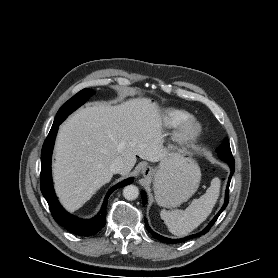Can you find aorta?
Returning <instances> with one entry per match:
<instances>
[{"instance_id":"1","label":"aorta","mask_w":278,"mask_h":278,"mask_svg":"<svg viewBox=\"0 0 278 278\" xmlns=\"http://www.w3.org/2000/svg\"><path fill=\"white\" fill-rule=\"evenodd\" d=\"M139 195V190L134 185H128L123 189V196L127 200H135Z\"/></svg>"}]
</instances>
